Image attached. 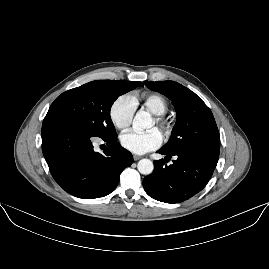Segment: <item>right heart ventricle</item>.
<instances>
[{
	"instance_id": "right-heart-ventricle-1",
	"label": "right heart ventricle",
	"mask_w": 269,
	"mask_h": 269,
	"mask_svg": "<svg viewBox=\"0 0 269 269\" xmlns=\"http://www.w3.org/2000/svg\"><path fill=\"white\" fill-rule=\"evenodd\" d=\"M142 107L152 114H165L169 109L168 100L160 94L143 96L138 101Z\"/></svg>"
}]
</instances>
